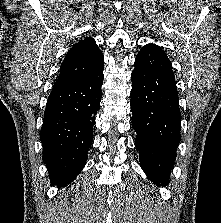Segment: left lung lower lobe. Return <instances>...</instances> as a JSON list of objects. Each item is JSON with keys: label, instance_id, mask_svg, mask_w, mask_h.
Here are the masks:
<instances>
[{"label": "left lung lower lobe", "instance_id": "1", "mask_svg": "<svg viewBox=\"0 0 221 223\" xmlns=\"http://www.w3.org/2000/svg\"><path fill=\"white\" fill-rule=\"evenodd\" d=\"M132 126L143 171L157 185L169 183L180 141L181 113L171 62L157 45H145L131 74Z\"/></svg>", "mask_w": 221, "mask_h": 223}]
</instances>
